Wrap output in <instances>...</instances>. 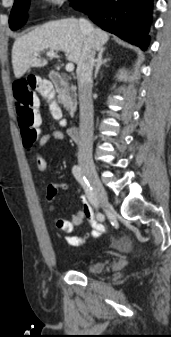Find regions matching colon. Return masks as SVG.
I'll use <instances>...</instances> for the list:
<instances>
[{
    "label": "colon",
    "instance_id": "colon-1",
    "mask_svg": "<svg viewBox=\"0 0 171 337\" xmlns=\"http://www.w3.org/2000/svg\"><path fill=\"white\" fill-rule=\"evenodd\" d=\"M17 122L21 131L23 146L30 150L37 141L38 133L44 132V127L39 126L40 114L34 92H39L42 103L48 106L42 107L46 118L64 119L65 113L59 109L60 101L56 91H52L50 85L40 77H27L16 81L13 85Z\"/></svg>",
    "mask_w": 171,
    "mask_h": 337
}]
</instances>
